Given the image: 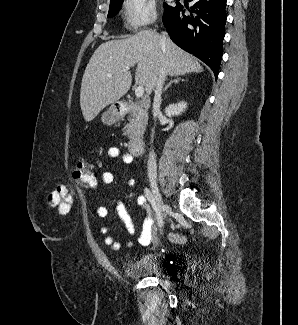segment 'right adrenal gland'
<instances>
[{"label": "right adrenal gland", "mask_w": 298, "mask_h": 325, "mask_svg": "<svg viewBox=\"0 0 298 325\" xmlns=\"http://www.w3.org/2000/svg\"><path fill=\"white\" fill-rule=\"evenodd\" d=\"M179 80H184V78H180V76H176V78H172V80H170V82H168V84H166L164 90H167V88H169V86H171V84H173V82H179Z\"/></svg>", "instance_id": "obj_1"}]
</instances>
